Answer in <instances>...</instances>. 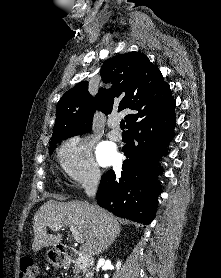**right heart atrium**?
<instances>
[{"mask_svg": "<svg viewBox=\"0 0 221 278\" xmlns=\"http://www.w3.org/2000/svg\"><path fill=\"white\" fill-rule=\"evenodd\" d=\"M58 158L65 174L77 184L96 183L101 177L86 136L77 134L66 139L58 149Z\"/></svg>", "mask_w": 221, "mask_h": 278, "instance_id": "d8ad5b80", "label": "right heart atrium"}]
</instances>
